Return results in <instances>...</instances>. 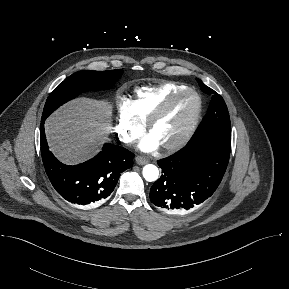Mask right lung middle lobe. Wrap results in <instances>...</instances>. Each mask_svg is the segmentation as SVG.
I'll return each mask as SVG.
<instances>
[{"label": "right lung middle lobe", "instance_id": "obj_1", "mask_svg": "<svg viewBox=\"0 0 289 289\" xmlns=\"http://www.w3.org/2000/svg\"><path fill=\"white\" fill-rule=\"evenodd\" d=\"M123 70L79 71L60 83L49 95L44 106L42 119L54 110L85 91L105 90L114 85L122 76Z\"/></svg>", "mask_w": 289, "mask_h": 289}]
</instances>
